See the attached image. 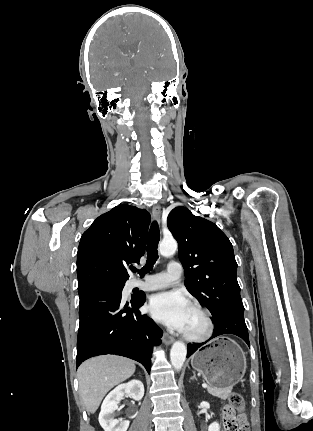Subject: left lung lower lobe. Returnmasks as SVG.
Listing matches in <instances>:
<instances>
[{"mask_svg":"<svg viewBox=\"0 0 313 431\" xmlns=\"http://www.w3.org/2000/svg\"><path fill=\"white\" fill-rule=\"evenodd\" d=\"M215 328L211 337H217L223 334H234L241 337L247 344L249 343L248 329L245 324L243 313H231L220 317L217 321H214ZM206 342L198 344H188L187 357H190L199 347L204 345Z\"/></svg>","mask_w":313,"mask_h":431,"instance_id":"left-lung-lower-lobe-1","label":"left lung lower lobe"}]
</instances>
